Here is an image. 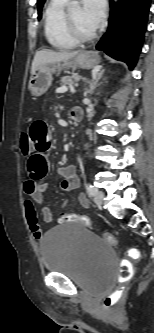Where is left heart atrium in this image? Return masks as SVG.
<instances>
[{"label": "left heart atrium", "instance_id": "left-heart-atrium-1", "mask_svg": "<svg viewBox=\"0 0 154 333\" xmlns=\"http://www.w3.org/2000/svg\"><path fill=\"white\" fill-rule=\"evenodd\" d=\"M105 0H83L82 1V17L85 23L97 29L104 17Z\"/></svg>", "mask_w": 154, "mask_h": 333}]
</instances>
